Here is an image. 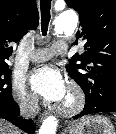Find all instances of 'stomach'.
Returning <instances> with one entry per match:
<instances>
[{
    "mask_svg": "<svg viewBox=\"0 0 116 134\" xmlns=\"http://www.w3.org/2000/svg\"><path fill=\"white\" fill-rule=\"evenodd\" d=\"M65 134H115L112 123L103 116H88L68 126Z\"/></svg>",
    "mask_w": 116,
    "mask_h": 134,
    "instance_id": "0dacf381",
    "label": "stomach"
}]
</instances>
